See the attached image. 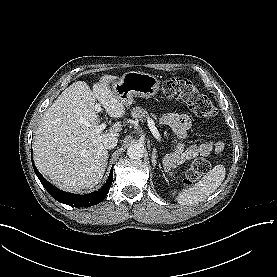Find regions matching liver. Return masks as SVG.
Returning a JSON list of instances; mask_svg holds the SVG:
<instances>
[{"label":"liver","instance_id":"6515ba94","mask_svg":"<svg viewBox=\"0 0 277 277\" xmlns=\"http://www.w3.org/2000/svg\"><path fill=\"white\" fill-rule=\"evenodd\" d=\"M116 76H102L92 90L85 81L66 88L44 112L33 142L38 170L58 188L81 193L92 190L103 178L108 151L104 142L119 136L121 123L97 133L96 101L113 118L125 115L124 104L109 88Z\"/></svg>","mask_w":277,"mask_h":277}]
</instances>
